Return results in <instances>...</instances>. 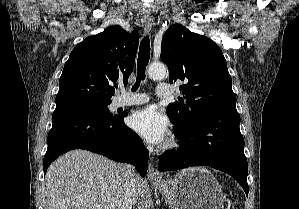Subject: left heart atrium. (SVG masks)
<instances>
[{"label":"left heart atrium","mask_w":299,"mask_h":209,"mask_svg":"<svg viewBox=\"0 0 299 209\" xmlns=\"http://www.w3.org/2000/svg\"><path fill=\"white\" fill-rule=\"evenodd\" d=\"M129 124L138 135L150 144L163 143L168 134L166 116L153 106L134 112Z\"/></svg>","instance_id":"left-heart-atrium-1"}]
</instances>
